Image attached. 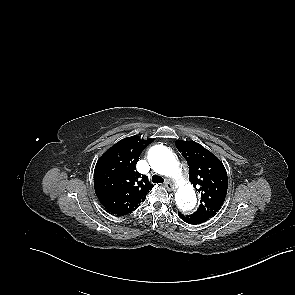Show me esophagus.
Here are the masks:
<instances>
[{
    "label": "esophagus",
    "instance_id": "34e87169",
    "mask_svg": "<svg viewBox=\"0 0 295 295\" xmlns=\"http://www.w3.org/2000/svg\"><path fill=\"white\" fill-rule=\"evenodd\" d=\"M164 185H165V187H166L168 190H173V189H174L173 184H172L169 180H166V181L164 182Z\"/></svg>",
    "mask_w": 295,
    "mask_h": 295
}]
</instances>
